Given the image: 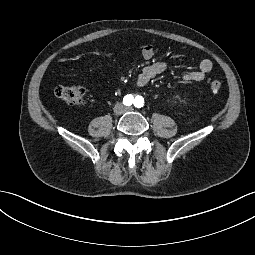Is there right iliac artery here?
<instances>
[{"label":"right iliac artery","instance_id":"right-iliac-artery-1","mask_svg":"<svg viewBox=\"0 0 255 255\" xmlns=\"http://www.w3.org/2000/svg\"><path fill=\"white\" fill-rule=\"evenodd\" d=\"M123 102H124V104L126 105V106H130L132 103H133V99H132V97H126L124 100H123Z\"/></svg>","mask_w":255,"mask_h":255}]
</instances>
